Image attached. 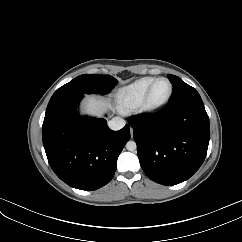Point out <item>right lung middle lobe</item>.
<instances>
[{
    "label": "right lung middle lobe",
    "instance_id": "1",
    "mask_svg": "<svg viewBox=\"0 0 242 242\" xmlns=\"http://www.w3.org/2000/svg\"><path fill=\"white\" fill-rule=\"evenodd\" d=\"M116 84L117 80L110 75H80L57 89L51 97L48 105L62 98L83 95L85 93L107 94Z\"/></svg>",
    "mask_w": 242,
    "mask_h": 242
}]
</instances>
